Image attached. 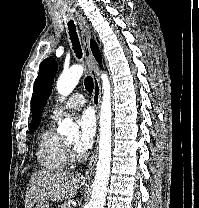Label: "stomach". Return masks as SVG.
<instances>
[{
  "label": "stomach",
  "mask_w": 199,
  "mask_h": 208,
  "mask_svg": "<svg viewBox=\"0 0 199 208\" xmlns=\"http://www.w3.org/2000/svg\"><path fill=\"white\" fill-rule=\"evenodd\" d=\"M35 208H49V203L47 201H39Z\"/></svg>",
  "instance_id": "1"
}]
</instances>
